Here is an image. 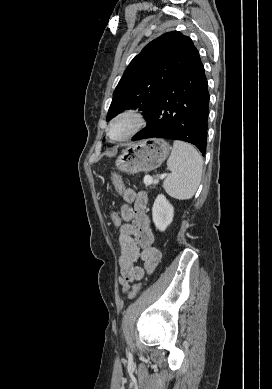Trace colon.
Listing matches in <instances>:
<instances>
[{
	"mask_svg": "<svg viewBox=\"0 0 272 389\" xmlns=\"http://www.w3.org/2000/svg\"><path fill=\"white\" fill-rule=\"evenodd\" d=\"M112 182H113V185L116 189V191L118 192H122L123 189H124V186H123V182H122V179H121V176L119 175V173H114L112 175ZM111 222L112 224L115 226V227H120L121 224H122V219H121V216L118 212L116 211H113L111 213ZM141 290V284L140 283H137L135 285H133L129 291V298L130 299H133L135 298L139 292Z\"/></svg>",
	"mask_w": 272,
	"mask_h": 389,
	"instance_id": "1",
	"label": "colon"
}]
</instances>
